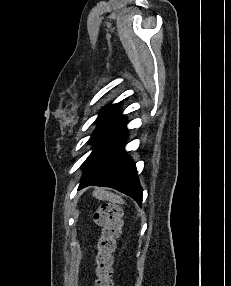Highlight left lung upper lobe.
Here are the masks:
<instances>
[{
	"instance_id": "1",
	"label": "left lung upper lobe",
	"mask_w": 231,
	"mask_h": 286,
	"mask_svg": "<svg viewBox=\"0 0 231 286\" xmlns=\"http://www.w3.org/2000/svg\"><path fill=\"white\" fill-rule=\"evenodd\" d=\"M119 106H120V103L108 105L107 107H105L98 115L96 122L99 123L100 121H102L105 117H107L109 114L115 111Z\"/></svg>"
}]
</instances>
